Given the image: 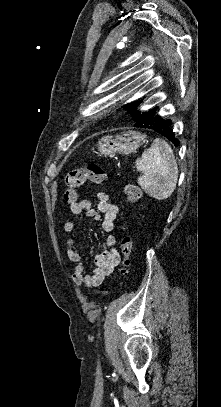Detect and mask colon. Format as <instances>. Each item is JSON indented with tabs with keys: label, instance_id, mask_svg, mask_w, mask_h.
Masks as SVG:
<instances>
[{
	"label": "colon",
	"instance_id": "obj_1",
	"mask_svg": "<svg viewBox=\"0 0 221 407\" xmlns=\"http://www.w3.org/2000/svg\"><path fill=\"white\" fill-rule=\"evenodd\" d=\"M108 180V174L98 163L91 162L85 167L71 170L65 179L64 199L68 204L77 203L80 199L79 189L86 182L100 184ZM126 199L131 202H137L141 198V189L136 184H126L124 186ZM132 238L130 235H124L120 241V257L116 258V265H120V272L126 274L130 265V256L132 253ZM107 292H103L106 294Z\"/></svg>",
	"mask_w": 221,
	"mask_h": 407
}]
</instances>
